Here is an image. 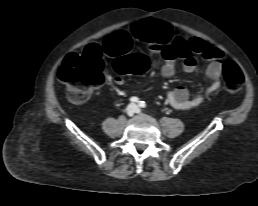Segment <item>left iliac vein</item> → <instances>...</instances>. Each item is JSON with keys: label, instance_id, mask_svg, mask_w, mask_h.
Listing matches in <instances>:
<instances>
[{"label": "left iliac vein", "instance_id": "1", "mask_svg": "<svg viewBox=\"0 0 258 206\" xmlns=\"http://www.w3.org/2000/svg\"><path fill=\"white\" fill-rule=\"evenodd\" d=\"M136 112H137V113H141L140 109H137Z\"/></svg>", "mask_w": 258, "mask_h": 206}]
</instances>
